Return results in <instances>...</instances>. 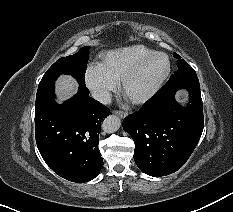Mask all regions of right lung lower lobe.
Segmentation results:
<instances>
[{"instance_id":"1","label":"right lung lower lobe","mask_w":233,"mask_h":212,"mask_svg":"<svg viewBox=\"0 0 233 212\" xmlns=\"http://www.w3.org/2000/svg\"><path fill=\"white\" fill-rule=\"evenodd\" d=\"M55 94L35 107V133L39 152L59 176L77 183L94 179L103 166L98 138L110 110L89 97L85 85L63 104Z\"/></svg>"}]
</instances>
